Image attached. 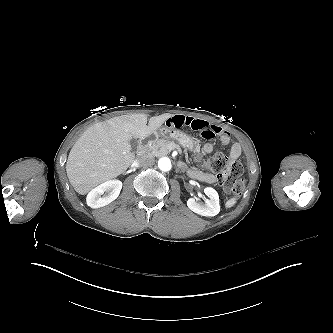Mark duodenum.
I'll return each mask as SVG.
<instances>
[{"label": "duodenum", "instance_id": "1", "mask_svg": "<svg viewBox=\"0 0 333 333\" xmlns=\"http://www.w3.org/2000/svg\"><path fill=\"white\" fill-rule=\"evenodd\" d=\"M145 148V144L143 143L142 145H141V150H143Z\"/></svg>", "mask_w": 333, "mask_h": 333}]
</instances>
